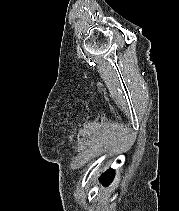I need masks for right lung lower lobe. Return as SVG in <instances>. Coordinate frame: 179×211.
Segmentation results:
<instances>
[{
    "label": "right lung lower lobe",
    "instance_id": "obj_1",
    "mask_svg": "<svg viewBox=\"0 0 179 211\" xmlns=\"http://www.w3.org/2000/svg\"><path fill=\"white\" fill-rule=\"evenodd\" d=\"M102 180L105 183V185H108L109 183L112 182L114 178V170L109 169L107 170L103 175H102Z\"/></svg>",
    "mask_w": 179,
    "mask_h": 211
}]
</instances>
